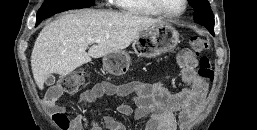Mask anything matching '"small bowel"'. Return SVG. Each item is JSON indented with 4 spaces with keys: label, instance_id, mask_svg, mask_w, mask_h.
I'll use <instances>...</instances> for the list:
<instances>
[{
    "label": "small bowel",
    "instance_id": "c3829d8e",
    "mask_svg": "<svg viewBox=\"0 0 257 130\" xmlns=\"http://www.w3.org/2000/svg\"><path fill=\"white\" fill-rule=\"evenodd\" d=\"M180 76L185 87L178 92H170L162 84L132 82L115 85L103 81L85 90L80 103H93L103 96H115L124 99L132 96L136 105L133 110L126 103L118 105V112L133 121L145 119L143 130H177L178 122L186 124L203 105L206 98V83L197 74L196 56L188 50L181 52L177 58ZM61 95V94H60ZM60 95L53 96L51 89L47 92L44 103L56 111L64 113L62 106L57 104ZM71 130H128L127 127L108 115H101L98 120L90 121L83 115L71 118Z\"/></svg>",
    "mask_w": 257,
    "mask_h": 130
}]
</instances>
